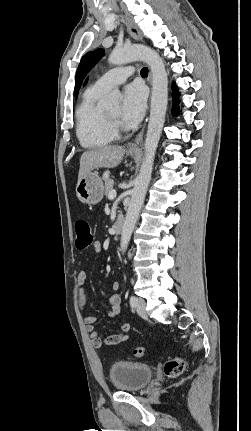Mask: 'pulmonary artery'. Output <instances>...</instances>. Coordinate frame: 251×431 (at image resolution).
Wrapping results in <instances>:
<instances>
[{"instance_id": "1", "label": "pulmonary artery", "mask_w": 251, "mask_h": 431, "mask_svg": "<svg viewBox=\"0 0 251 431\" xmlns=\"http://www.w3.org/2000/svg\"><path fill=\"white\" fill-rule=\"evenodd\" d=\"M132 73V67H120L112 69L98 78L94 82L93 87L103 92H107L113 87L123 84L128 79V77L132 75Z\"/></svg>"}]
</instances>
